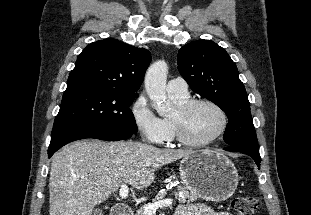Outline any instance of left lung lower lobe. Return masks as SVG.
I'll return each instance as SVG.
<instances>
[{
	"label": "left lung lower lobe",
	"mask_w": 311,
	"mask_h": 215,
	"mask_svg": "<svg viewBox=\"0 0 311 215\" xmlns=\"http://www.w3.org/2000/svg\"><path fill=\"white\" fill-rule=\"evenodd\" d=\"M224 150L245 153L254 159L257 166L260 165L261 157H260L258 150L256 149L246 147V146H229V147H225Z\"/></svg>",
	"instance_id": "left-lung-lower-lobe-1"
}]
</instances>
